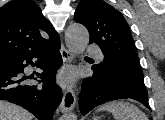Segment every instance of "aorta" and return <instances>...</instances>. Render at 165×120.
Listing matches in <instances>:
<instances>
[{"label": "aorta", "mask_w": 165, "mask_h": 120, "mask_svg": "<svg viewBox=\"0 0 165 120\" xmlns=\"http://www.w3.org/2000/svg\"><path fill=\"white\" fill-rule=\"evenodd\" d=\"M65 40L68 49L75 53L81 54L86 49L89 42V33L85 26L79 23L70 24L65 32ZM62 120H76L74 113L67 114L61 118Z\"/></svg>", "instance_id": "1"}]
</instances>
